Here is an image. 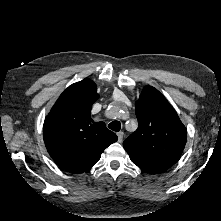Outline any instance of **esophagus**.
Masks as SVG:
<instances>
[{
	"label": "esophagus",
	"instance_id": "1",
	"mask_svg": "<svg viewBox=\"0 0 221 221\" xmlns=\"http://www.w3.org/2000/svg\"><path fill=\"white\" fill-rule=\"evenodd\" d=\"M117 136H118V142L121 143L123 141L124 133L123 132H118Z\"/></svg>",
	"mask_w": 221,
	"mask_h": 221
}]
</instances>
